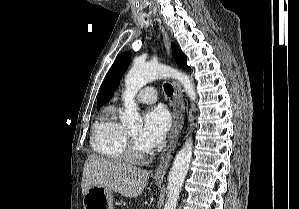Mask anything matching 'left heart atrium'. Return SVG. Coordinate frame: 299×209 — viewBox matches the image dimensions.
<instances>
[{
	"instance_id": "39dd6f15",
	"label": "left heart atrium",
	"mask_w": 299,
	"mask_h": 209,
	"mask_svg": "<svg viewBox=\"0 0 299 209\" xmlns=\"http://www.w3.org/2000/svg\"><path fill=\"white\" fill-rule=\"evenodd\" d=\"M170 123V116L165 108H151L144 116V125L138 136L139 143L147 150L157 146L165 138Z\"/></svg>"
}]
</instances>
